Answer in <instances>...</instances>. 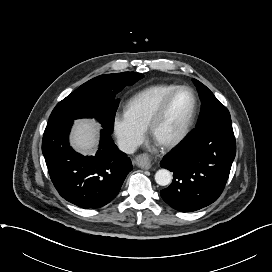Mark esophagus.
<instances>
[{
	"label": "esophagus",
	"mask_w": 272,
	"mask_h": 272,
	"mask_svg": "<svg viewBox=\"0 0 272 272\" xmlns=\"http://www.w3.org/2000/svg\"><path fill=\"white\" fill-rule=\"evenodd\" d=\"M135 163L142 169H150L152 166L151 160L147 154H140L135 158Z\"/></svg>",
	"instance_id": "34e87169"
}]
</instances>
